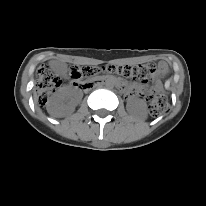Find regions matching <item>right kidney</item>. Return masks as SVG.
<instances>
[{"label":"right kidney","instance_id":"1","mask_svg":"<svg viewBox=\"0 0 206 206\" xmlns=\"http://www.w3.org/2000/svg\"><path fill=\"white\" fill-rule=\"evenodd\" d=\"M80 99L81 95L78 92L64 89L49 100L47 111L52 116H66L74 111V107Z\"/></svg>","mask_w":206,"mask_h":206}]
</instances>
